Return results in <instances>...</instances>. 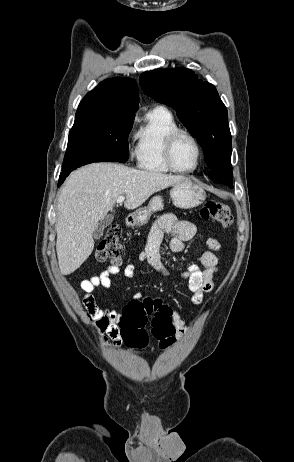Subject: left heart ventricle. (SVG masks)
Instances as JSON below:
<instances>
[{
  "mask_svg": "<svg viewBox=\"0 0 294 462\" xmlns=\"http://www.w3.org/2000/svg\"><path fill=\"white\" fill-rule=\"evenodd\" d=\"M197 151L193 142L185 137H179L173 148V160L180 169H190L196 163Z\"/></svg>",
  "mask_w": 294,
  "mask_h": 462,
  "instance_id": "left-heart-ventricle-1",
  "label": "left heart ventricle"
}]
</instances>
